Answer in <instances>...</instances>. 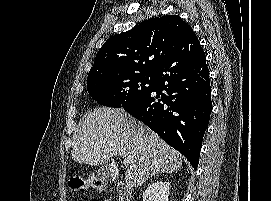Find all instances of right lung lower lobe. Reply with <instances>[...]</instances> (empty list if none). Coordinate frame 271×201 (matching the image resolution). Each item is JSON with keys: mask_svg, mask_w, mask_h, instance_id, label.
<instances>
[{"mask_svg": "<svg viewBox=\"0 0 271 201\" xmlns=\"http://www.w3.org/2000/svg\"><path fill=\"white\" fill-rule=\"evenodd\" d=\"M154 76L148 92L121 107L181 152L196 170L212 111L209 70L199 40L187 35Z\"/></svg>", "mask_w": 271, "mask_h": 201, "instance_id": "98d812e1", "label": "right lung lower lobe"}]
</instances>
